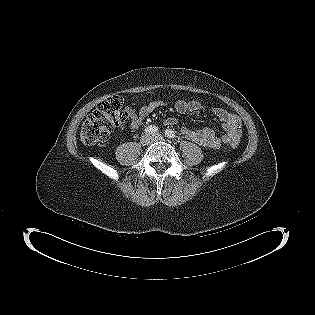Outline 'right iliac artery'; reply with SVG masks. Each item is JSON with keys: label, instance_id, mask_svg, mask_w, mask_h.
Segmentation results:
<instances>
[{"label": "right iliac artery", "instance_id": "obj_1", "mask_svg": "<svg viewBox=\"0 0 315 315\" xmlns=\"http://www.w3.org/2000/svg\"><path fill=\"white\" fill-rule=\"evenodd\" d=\"M158 132V127L155 125H150L148 127L145 128L144 133L145 134H149V135H154L155 133Z\"/></svg>", "mask_w": 315, "mask_h": 315}]
</instances>
